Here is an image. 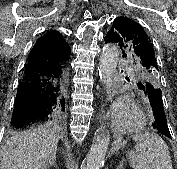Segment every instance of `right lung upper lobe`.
<instances>
[{"label": "right lung upper lobe", "mask_w": 177, "mask_h": 169, "mask_svg": "<svg viewBox=\"0 0 177 169\" xmlns=\"http://www.w3.org/2000/svg\"><path fill=\"white\" fill-rule=\"evenodd\" d=\"M70 52L71 48L63 36L57 31L50 30L36 41L30 54L65 62L68 60Z\"/></svg>", "instance_id": "cb5924a9"}]
</instances>
